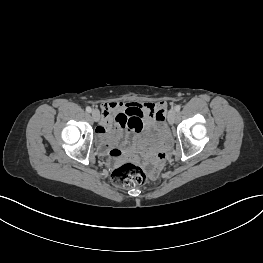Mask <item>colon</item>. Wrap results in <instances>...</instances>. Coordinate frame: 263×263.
I'll list each match as a JSON object with an SVG mask.
<instances>
[{
    "label": "colon",
    "mask_w": 263,
    "mask_h": 263,
    "mask_svg": "<svg viewBox=\"0 0 263 263\" xmlns=\"http://www.w3.org/2000/svg\"><path fill=\"white\" fill-rule=\"evenodd\" d=\"M111 178L113 183L119 187L133 188L144 184L146 174L139 165L128 162L114 168Z\"/></svg>",
    "instance_id": "5ec220e1"
}]
</instances>
